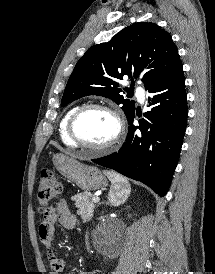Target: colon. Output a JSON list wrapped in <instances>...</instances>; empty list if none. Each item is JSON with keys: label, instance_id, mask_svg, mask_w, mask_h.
Wrapping results in <instances>:
<instances>
[{"label": "colon", "instance_id": "1", "mask_svg": "<svg viewBox=\"0 0 215 274\" xmlns=\"http://www.w3.org/2000/svg\"><path fill=\"white\" fill-rule=\"evenodd\" d=\"M61 184L50 168L42 169L38 186V202L40 211L44 215L49 203L60 193Z\"/></svg>", "mask_w": 215, "mask_h": 274}]
</instances>
